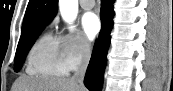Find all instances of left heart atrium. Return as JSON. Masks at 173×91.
<instances>
[{
	"instance_id": "obj_1",
	"label": "left heart atrium",
	"mask_w": 173,
	"mask_h": 91,
	"mask_svg": "<svg viewBox=\"0 0 173 91\" xmlns=\"http://www.w3.org/2000/svg\"><path fill=\"white\" fill-rule=\"evenodd\" d=\"M82 28L88 39H94L100 31L98 16L93 12L86 13L82 18Z\"/></svg>"
}]
</instances>
